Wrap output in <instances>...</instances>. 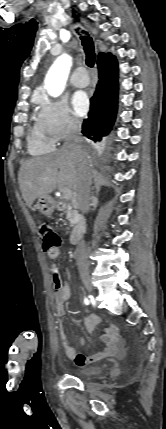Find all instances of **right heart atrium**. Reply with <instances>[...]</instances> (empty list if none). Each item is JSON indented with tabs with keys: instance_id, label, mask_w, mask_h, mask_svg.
Here are the masks:
<instances>
[{
	"instance_id": "right-heart-atrium-1",
	"label": "right heart atrium",
	"mask_w": 166,
	"mask_h": 429,
	"mask_svg": "<svg viewBox=\"0 0 166 429\" xmlns=\"http://www.w3.org/2000/svg\"><path fill=\"white\" fill-rule=\"evenodd\" d=\"M37 124L54 142L66 139L81 128V122L72 114L65 99H42Z\"/></svg>"
}]
</instances>
